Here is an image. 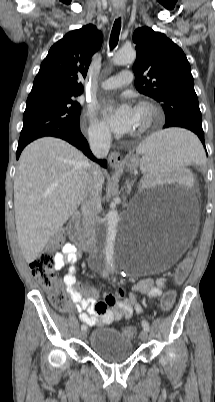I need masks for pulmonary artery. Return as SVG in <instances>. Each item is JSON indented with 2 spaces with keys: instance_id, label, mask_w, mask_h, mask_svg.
Instances as JSON below:
<instances>
[{
  "instance_id": "pulmonary-artery-1",
  "label": "pulmonary artery",
  "mask_w": 215,
  "mask_h": 402,
  "mask_svg": "<svg viewBox=\"0 0 215 402\" xmlns=\"http://www.w3.org/2000/svg\"><path fill=\"white\" fill-rule=\"evenodd\" d=\"M132 81V73L130 71H122L116 76H112L101 83V88L109 90L116 89Z\"/></svg>"
}]
</instances>
